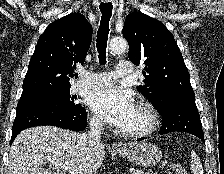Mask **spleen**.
<instances>
[{"mask_svg":"<svg viewBox=\"0 0 224 174\" xmlns=\"http://www.w3.org/2000/svg\"><path fill=\"white\" fill-rule=\"evenodd\" d=\"M191 171L192 174H203L202 163L194 151H191Z\"/></svg>","mask_w":224,"mask_h":174,"instance_id":"3e777b00","label":"spleen"}]
</instances>
